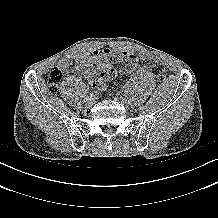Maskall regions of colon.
Instances as JSON below:
<instances>
[{
  "instance_id": "obj_1",
  "label": "colon",
  "mask_w": 218,
  "mask_h": 218,
  "mask_svg": "<svg viewBox=\"0 0 218 218\" xmlns=\"http://www.w3.org/2000/svg\"><path fill=\"white\" fill-rule=\"evenodd\" d=\"M149 67L152 74L159 81H163L166 78V67L159 58L152 57L149 61ZM120 73H126V69L123 68L120 70L114 66L109 67L97 76L95 82L93 83V87L99 91L104 90L107 82L117 77ZM62 77L63 74L60 68L55 67L52 69L48 77V88L50 93L54 94L57 92Z\"/></svg>"
}]
</instances>
